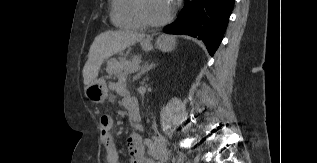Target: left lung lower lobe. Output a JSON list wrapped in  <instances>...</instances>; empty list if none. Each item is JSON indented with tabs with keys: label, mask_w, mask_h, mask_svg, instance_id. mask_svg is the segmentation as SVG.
Masks as SVG:
<instances>
[{
	"label": "left lung lower lobe",
	"mask_w": 317,
	"mask_h": 163,
	"mask_svg": "<svg viewBox=\"0 0 317 163\" xmlns=\"http://www.w3.org/2000/svg\"><path fill=\"white\" fill-rule=\"evenodd\" d=\"M235 0H187L175 22L163 31L201 39L214 55L219 47Z\"/></svg>",
	"instance_id": "left-lung-lower-lobe-1"
}]
</instances>
